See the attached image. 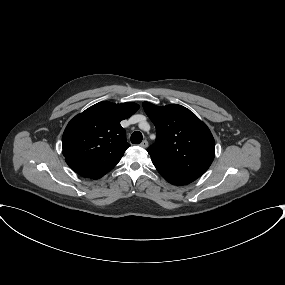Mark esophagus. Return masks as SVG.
Masks as SVG:
<instances>
[{
	"instance_id": "obj_1",
	"label": "esophagus",
	"mask_w": 285,
	"mask_h": 285,
	"mask_svg": "<svg viewBox=\"0 0 285 285\" xmlns=\"http://www.w3.org/2000/svg\"><path fill=\"white\" fill-rule=\"evenodd\" d=\"M140 146L143 147V148H147V146H148L147 140H143V141L141 142Z\"/></svg>"
}]
</instances>
